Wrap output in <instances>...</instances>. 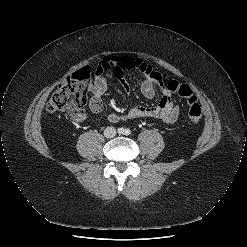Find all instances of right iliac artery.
Returning <instances> with one entry per match:
<instances>
[{
	"mask_svg": "<svg viewBox=\"0 0 247 247\" xmlns=\"http://www.w3.org/2000/svg\"><path fill=\"white\" fill-rule=\"evenodd\" d=\"M118 133H119V134H123V133H124V129H123V128H119V129H118Z\"/></svg>",
	"mask_w": 247,
	"mask_h": 247,
	"instance_id": "right-iliac-artery-1",
	"label": "right iliac artery"
}]
</instances>
